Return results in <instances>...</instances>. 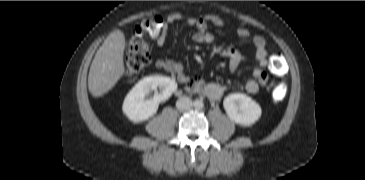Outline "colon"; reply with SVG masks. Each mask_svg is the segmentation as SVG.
Segmentation results:
<instances>
[{
    "instance_id": "obj_1",
    "label": "colon",
    "mask_w": 365,
    "mask_h": 180,
    "mask_svg": "<svg viewBox=\"0 0 365 180\" xmlns=\"http://www.w3.org/2000/svg\"><path fill=\"white\" fill-rule=\"evenodd\" d=\"M164 19L161 16H152L143 21L130 37L124 58V69L129 75L140 73L149 62V49L146 37H157L163 27ZM271 73L282 76L286 71V63L280 52H273L268 61ZM285 93V86L278 85L274 91V97L280 101Z\"/></svg>"
}]
</instances>
